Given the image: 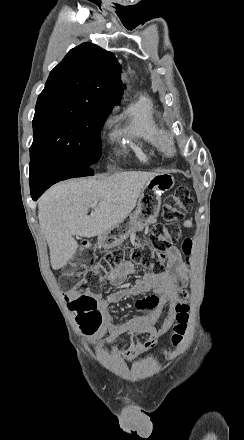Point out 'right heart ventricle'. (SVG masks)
Here are the masks:
<instances>
[{
  "label": "right heart ventricle",
  "mask_w": 244,
  "mask_h": 440,
  "mask_svg": "<svg viewBox=\"0 0 244 440\" xmlns=\"http://www.w3.org/2000/svg\"><path fill=\"white\" fill-rule=\"evenodd\" d=\"M116 127L112 135L133 136L148 144L158 147L162 142V134L153 119V105L150 100L141 99L131 103L115 120Z\"/></svg>",
  "instance_id": "e07e8e85"
}]
</instances>
